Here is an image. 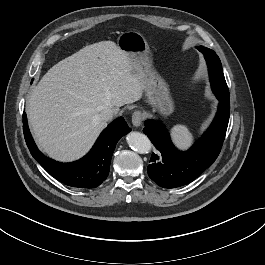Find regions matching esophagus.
Segmentation results:
<instances>
[{
	"instance_id": "obj_1",
	"label": "esophagus",
	"mask_w": 265,
	"mask_h": 265,
	"mask_svg": "<svg viewBox=\"0 0 265 265\" xmlns=\"http://www.w3.org/2000/svg\"><path fill=\"white\" fill-rule=\"evenodd\" d=\"M143 121V114L141 113V111L136 110L134 111V113L132 114V124L135 127H139L141 125Z\"/></svg>"
}]
</instances>
